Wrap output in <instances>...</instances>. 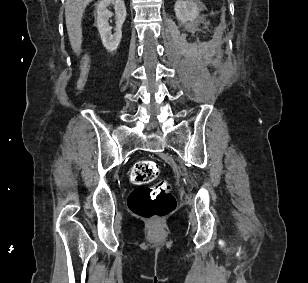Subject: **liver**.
<instances>
[{"mask_svg": "<svg viewBox=\"0 0 308 283\" xmlns=\"http://www.w3.org/2000/svg\"><path fill=\"white\" fill-rule=\"evenodd\" d=\"M93 0H66L65 19L70 44L75 53L82 45V16L87 5Z\"/></svg>", "mask_w": 308, "mask_h": 283, "instance_id": "6515ba94", "label": "liver"}]
</instances>
